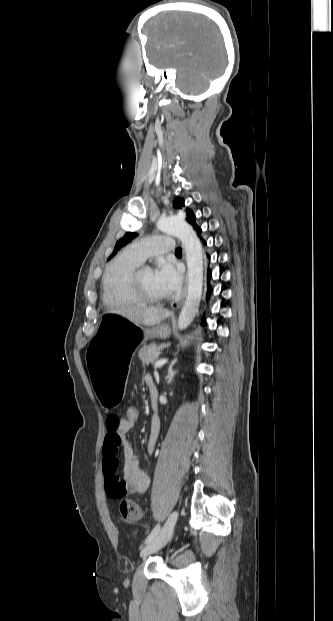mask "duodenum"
Instances as JSON below:
<instances>
[{"label":"duodenum","mask_w":333,"mask_h":621,"mask_svg":"<svg viewBox=\"0 0 333 621\" xmlns=\"http://www.w3.org/2000/svg\"><path fill=\"white\" fill-rule=\"evenodd\" d=\"M149 390H150L151 400H152V402H155L156 389H155V386H154L153 383L149 385ZM152 423H153V425H157L159 423V419H158L156 413H154L153 416H152Z\"/></svg>","instance_id":"1"}]
</instances>
